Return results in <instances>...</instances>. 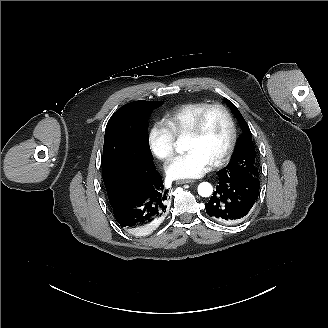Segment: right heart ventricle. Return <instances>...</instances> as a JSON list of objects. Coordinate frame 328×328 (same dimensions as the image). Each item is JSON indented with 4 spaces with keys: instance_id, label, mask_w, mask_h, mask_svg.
<instances>
[{
    "instance_id": "e07e8e85",
    "label": "right heart ventricle",
    "mask_w": 328,
    "mask_h": 328,
    "mask_svg": "<svg viewBox=\"0 0 328 328\" xmlns=\"http://www.w3.org/2000/svg\"><path fill=\"white\" fill-rule=\"evenodd\" d=\"M207 102H191L184 104L162 117V122L175 138L186 135V132L193 125L198 114L205 109Z\"/></svg>"
}]
</instances>
